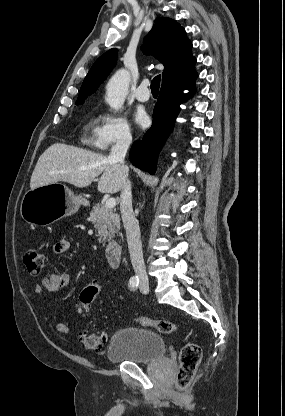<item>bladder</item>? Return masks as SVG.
I'll list each match as a JSON object with an SVG mask.
<instances>
[{
  "label": "bladder",
  "instance_id": "obj_1",
  "mask_svg": "<svg viewBox=\"0 0 285 416\" xmlns=\"http://www.w3.org/2000/svg\"><path fill=\"white\" fill-rule=\"evenodd\" d=\"M166 350V340L161 334L134 326L114 332L108 346V358L111 363H151L166 355Z\"/></svg>",
  "mask_w": 285,
  "mask_h": 416
}]
</instances>
